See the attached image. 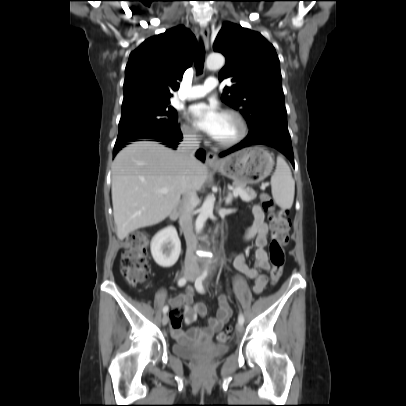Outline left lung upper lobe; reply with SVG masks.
I'll return each mask as SVG.
<instances>
[{
    "label": "left lung upper lobe",
    "instance_id": "obj_1",
    "mask_svg": "<svg viewBox=\"0 0 406 406\" xmlns=\"http://www.w3.org/2000/svg\"><path fill=\"white\" fill-rule=\"evenodd\" d=\"M226 57L219 80L229 79L222 101L240 111L249 132L271 128L288 131L278 56L260 33L225 22L213 45Z\"/></svg>",
    "mask_w": 406,
    "mask_h": 406
}]
</instances>
